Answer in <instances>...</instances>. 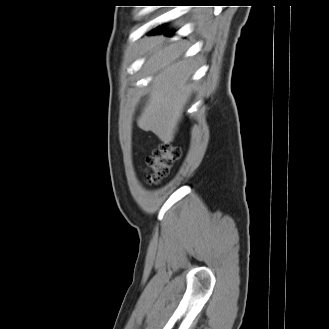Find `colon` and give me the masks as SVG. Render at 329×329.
<instances>
[{"mask_svg": "<svg viewBox=\"0 0 329 329\" xmlns=\"http://www.w3.org/2000/svg\"><path fill=\"white\" fill-rule=\"evenodd\" d=\"M181 157V149L170 142L162 143L158 149L154 150L147 158L149 172L147 182L157 184L167 177L175 161Z\"/></svg>", "mask_w": 329, "mask_h": 329, "instance_id": "1", "label": "colon"}]
</instances>
